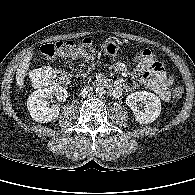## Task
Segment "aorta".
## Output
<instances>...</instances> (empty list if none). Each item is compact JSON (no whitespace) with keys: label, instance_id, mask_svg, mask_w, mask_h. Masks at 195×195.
Wrapping results in <instances>:
<instances>
[{"label":"aorta","instance_id":"762f6f07","mask_svg":"<svg viewBox=\"0 0 195 195\" xmlns=\"http://www.w3.org/2000/svg\"><path fill=\"white\" fill-rule=\"evenodd\" d=\"M95 92H96V94L98 95V96H103L105 93H106V90H105V88L104 87H101V86H99V87H97L96 89H95Z\"/></svg>","mask_w":195,"mask_h":195}]
</instances>
